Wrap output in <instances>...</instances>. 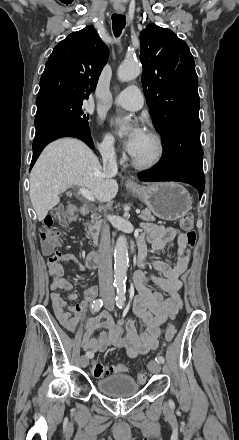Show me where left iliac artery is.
<instances>
[{
    "label": "left iliac artery",
    "instance_id": "1",
    "mask_svg": "<svg viewBox=\"0 0 239 440\" xmlns=\"http://www.w3.org/2000/svg\"><path fill=\"white\" fill-rule=\"evenodd\" d=\"M116 304L119 308L124 307V305H125V287H120L119 289H117ZM155 361L158 363H164L165 359L163 356H157Z\"/></svg>",
    "mask_w": 239,
    "mask_h": 440
}]
</instances>
